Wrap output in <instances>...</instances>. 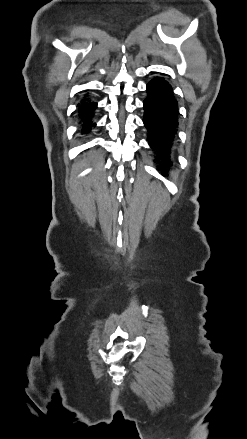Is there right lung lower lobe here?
<instances>
[{"mask_svg": "<svg viewBox=\"0 0 247 439\" xmlns=\"http://www.w3.org/2000/svg\"><path fill=\"white\" fill-rule=\"evenodd\" d=\"M80 104H78L79 106ZM97 103H93V104H82L80 106V115L83 117V122H82V133H87L89 132L92 127H95V123L92 124V122L90 121V119L93 116V110L96 108Z\"/></svg>", "mask_w": 247, "mask_h": 439, "instance_id": "1", "label": "right lung lower lobe"}]
</instances>
